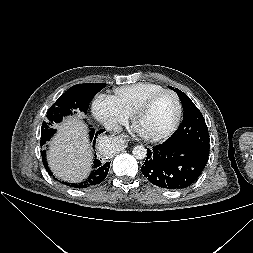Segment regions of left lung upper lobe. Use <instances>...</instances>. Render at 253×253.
Returning <instances> with one entry per match:
<instances>
[{
    "label": "left lung upper lobe",
    "instance_id": "5c2ea615",
    "mask_svg": "<svg viewBox=\"0 0 253 253\" xmlns=\"http://www.w3.org/2000/svg\"><path fill=\"white\" fill-rule=\"evenodd\" d=\"M169 87L176 91L179 96L184 113L180 128L166 142L194 146L209 153L208 128L202 113L185 93L177 88Z\"/></svg>",
    "mask_w": 253,
    "mask_h": 253
}]
</instances>
